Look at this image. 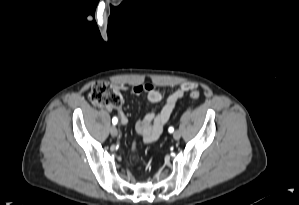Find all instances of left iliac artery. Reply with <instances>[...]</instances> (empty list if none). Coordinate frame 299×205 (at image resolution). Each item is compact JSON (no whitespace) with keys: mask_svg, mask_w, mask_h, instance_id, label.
<instances>
[{"mask_svg":"<svg viewBox=\"0 0 299 205\" xmlns=\"http://www.w3.org/2000/svg\"><path fill=\"white\" fill-rule=\"evenodd\" d=\"M168 131H169L170 133H172V132L174 131V128H173V127H169Z\"/></svg>","mask_w":299,"mask_h":205,"instance_id":"obj_1","label":"left iliac artery"}]
</instances>
